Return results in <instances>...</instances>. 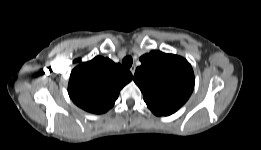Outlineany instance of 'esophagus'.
I'll return each instance as SVG.
<instances>
[{"label": "esophagus", "instance_id": "obj_1", "mask_svg": "<svg viewBox=\"0 0 261 150\" xmlns=\"http://www.w3.org/2000/svg\"><path fill=\"white\" fill-rule=\"evenodd\" d=\"M129 70H130V72L132 73V75H134L135 70H136V67H135V66H132Z\"/></svg>", "mask_w": 261, "mask_h": 150}]
</instances>
